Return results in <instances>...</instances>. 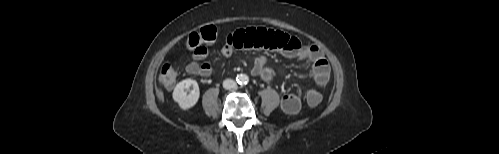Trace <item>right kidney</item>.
<instances>
[{
    "label": "right kidney",
    "mask_w": 499,
    "mask_h": 154,
    "mask_svg": "<svg viewBox=\"0 0 499 154\" xmlns=\"http://www.w3.org/2000/svg\"><path fill=\"white\" fill-rule=\"evenodd\" d=\"M172 96L181 109L188 110L198 102L200 96L198 83L193 79H185L175 86Z\"/></svg>",
    "instance_id": "right-kidney-1"
}]
</instances>
